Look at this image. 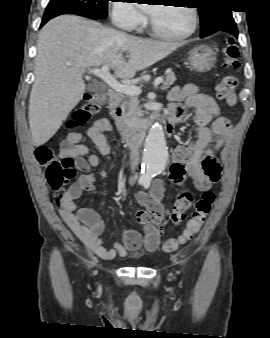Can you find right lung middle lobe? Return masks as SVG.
<instances>
[{
  "instance_id": "right-lung-middle-lobe-1",
  "label": "right lung middle lobe",
  "mask_w": 270,
  "mask_h": 338,
  "mask_svg": "<svg viewBox=\"0 0 270 338\" xmlns=\"http://www.w3.org/2000/svg\"><path fill=\"white\" fill-rule=\"evenodd\" d=\"M110 0H50L45 14L62 12L91 14L100 18L107 16V5Z\"/></svg>"
}]
</instances>
